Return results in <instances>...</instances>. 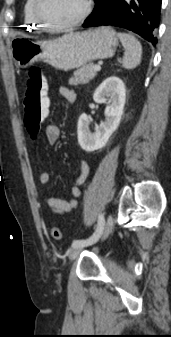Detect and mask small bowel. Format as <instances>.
<instances>
[{"label":"small bowel","mask_w":171,"mask_h":337,"mask_svg":"<svg viewBox=\"0 0 171 337\" xmlns=\"http://www.w3.org/2000/svg\"><path fill=\"white\" fill-rule=\"evenodd\" d=\"M59 95L69 103H74L77 99L76 93L67 88L61 87ZM49 109V107H46ZM46 138L49 144H56L61 137V129L58 125L50 124L45 129ZM90 167L85 160L80 161V172L71 188L72 197L69 200H64L58 197L45 196L42 199L44 205L47 206L48 212L53 215H64L78 207L79 197L81 195V187L89 176ZM39 181L42 185H47L50 181L48 173L43 172L39 176Z\"/></svg>","instance_id":"obj_1"}]
</instances>
